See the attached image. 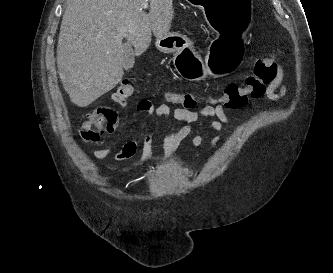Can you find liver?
I'll return each instance as SVG.
<instances>
[{"mask_svg":"<svg viewBox=\"0 0 333 273\" xmlns=\"http://www.w3.org/2000/svg\"><path fill=\"white\" fill-rule=\"evenodd\" d=\"M69 0L57 45V67L70 100L86 107L123 78L122 40L144 53L151 41L169 32L173 0Z\"/></svg>","mask_w":333,"mask_h":273,"instance_id":"liver-1","label":"liver"}]
</instances>
